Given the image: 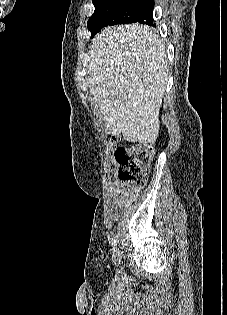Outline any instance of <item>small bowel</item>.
<instances>
[{"label":"small bowel","instance_id":"obj_1","mask_svg":"<svg viewBox=\"0 0 227 315\" xmlns=\"http://www.w3.org/2000/svg\"><path fill=\"white\" fill-rule=\"evenodd\" d=\"M109 192L113 203L117 207L126 208L136 198L139 190L119 182H114L111 184Z\"/></svg>","mask_w":227,"mask_h":315}]
</instances>
